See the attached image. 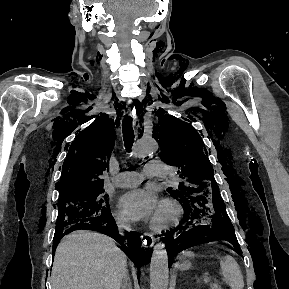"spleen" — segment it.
Masks as SVG:
<instances>
[{
    "label": "spleen",
    "mask_w": 289,
    "mask_h": 289,
    "mask_svg": "<svg viewBox=\"0 0 289 289\" xmlns=\"http://www.w3.org/2000/svg\"><path fill=\"white\" fill-rule=\"evenodd\" d=\"M220 268L223 280L230 286L231 289H243L244 280L240 267L236 260L226 255L220 261Z\"/></svg>",
    "instance_id": "1"
}]
</instances>
